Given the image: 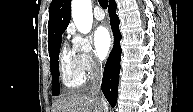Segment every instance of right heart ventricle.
I'll return each mask as SVG.
<instances>
[{"instance_id":"e07e8e85","label":"right heart ventricle","mask_w":193,"mask_h":112,"mask_svg":"<svg viewBox=\"0 0 193 112\" xmlns=\"http://www.w3.org/2000/svg\"><path fill=\"white\" fill-rule=\"evenodd\" d=\"M59 72L62 84L68 89H78L85 82V74L79 67L72 49L63 47L59 57Z\"/></svg>"}]
</instances>
